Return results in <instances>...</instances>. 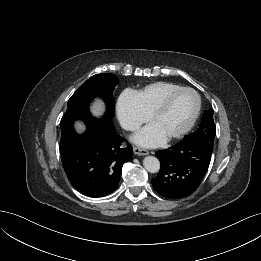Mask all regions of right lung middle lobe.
Wrapping results in <instances>:
<instances>
[{"label": "right lung middle lobe", "mask_w": 261, "mask_h": 261, "mask_svg": "<svg viewBox=\"0 0 261 261\" xmlns=\"http://www.w3.org/2000/svg\"><path fill=\"white\" fill-rule=\"evenodd\" d=\"M117 83V77L110 73L97 74L88 79L69 99L67 110L60 122L61 128L72 124L75 119L88 121L94 118L89 111V105L95 97L102 98L107 105L104 118L112 119L115 108L113 90Z\"/></svg>", "instance_id": "dd1d6c3e"}]
</instances>
